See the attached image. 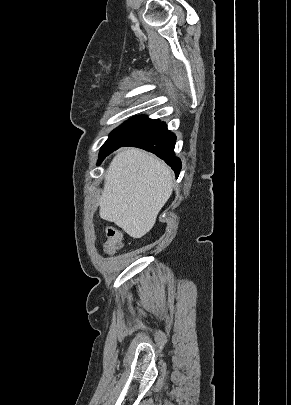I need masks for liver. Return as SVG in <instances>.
I'll use <instances>...</instances> for the list:
<instances>
[{"mask_svg": "<svg viewBox=\"0 0 291 405\" xmlns=\"http://www.w3.org/2000/svg\"><path fill=\"white\" fill-rule=\"evenodd\" d=\"M173 179L172 170L156 156L137 148L119 152L105 175L100 217L141 238L170 198Z\"/></svg>", "mask_w": 291, "mask_h": 405, "instance_id": "liver-1", "label": "liver"}]
</instances>
